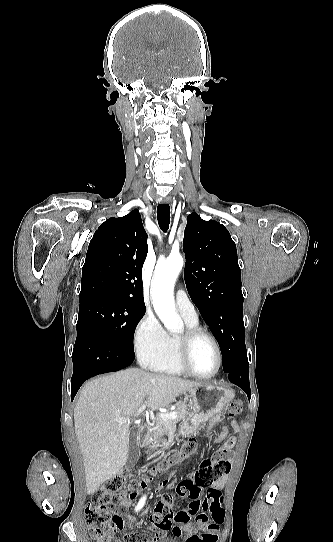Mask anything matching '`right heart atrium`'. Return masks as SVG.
<instances>
[{"label":"right heart atrium","mask_w":333,"mask_h":542,"mask_svg":"<svg viewBox=\"0 0 333 542\" xmlns=\"http://www.w3.org/2000/svg\"><path fill=\"white\" fill-rule=\"evenodd\" d=\"M166 332L158 318L147 312L137 323L134 330V345L138 356L162 348L166 340Z\"/></svg>","instance_id":"right-heart-atrium-1"}]
</instances>
